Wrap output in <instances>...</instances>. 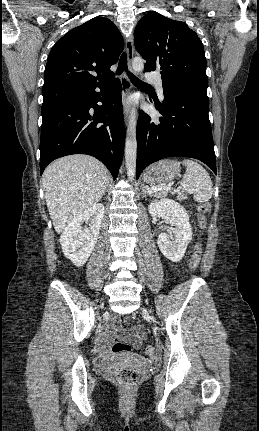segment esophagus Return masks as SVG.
Here are the masks:
<instances>
[{
	"label": "esophagus",
	"instance_id": "1",
	"mask_svg": "<svg viewBox=\"0 0 259 431\" xmlns=\"http://www.w3.org/2000/svg\"><path fill=\"white\" fill-rule=\"evenodd\" d=\"M126 53H127V63H128V69H131V64L134 57V40L133 35H130L126 39ZM122 84V99H123V113L125 117V121H128L129 114H130V103L128 100V94L132 90V83L127 75V73H124L121 79Z\"/></svg>",
	"mask_w": 259,
	"mask_h": 431
}]
</instances>
